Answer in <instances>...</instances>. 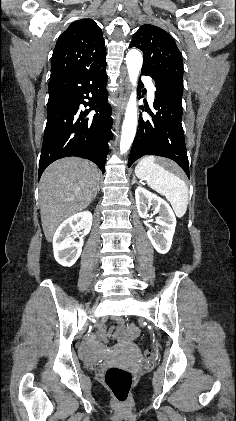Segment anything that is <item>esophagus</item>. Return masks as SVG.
Wrapping results in <instances>:
<instances>
[{"label": "esophagus", "instance_id": "34e87169", "mask_svg": "<svg viewBox=\"0 0 236 421\" xmlns=\"http://www.w3.org/2000/svg\"><path fill=\"white\" fill-rule=\"evenodd\" d=\"M125 86H126L127 89L129 88L128 80L125 81ZM126 103H127V93H125L123 95V97L121 98V100L119 102H117L116 107H115V113L117 111L123 112L124 109H125Z\"/></svg>", "mask_w": 236, "mask_h": 421}]
</instances>
